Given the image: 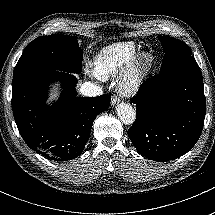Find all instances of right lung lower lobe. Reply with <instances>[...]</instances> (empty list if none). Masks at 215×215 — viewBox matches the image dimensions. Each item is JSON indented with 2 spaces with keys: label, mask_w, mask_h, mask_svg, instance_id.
I'll list each match as a JSON object with an SVG mask.
<instances>
[{
  "label": "right lung lower lobe",
  "mask_w": 215,
  "mask_h": 215,
  "mask_svg": "<svg viewBox=\"0 0 215 215\" xmlns=\"http://www.w3.org/2000/svg\"><path fill=\"white\" fill-rule=\"evenodd\" d=\"M60 81L63 91L57 103L46 105L48 86ZM76 78L69 72L36 69L13 78L12 110L25 143L44 157L71 160L88 141L96 116L107 110L109 95L77 97Z\"/></svg>",
  "instance_id": "right-lung-lower-lobe-1"
}]
</instances>
